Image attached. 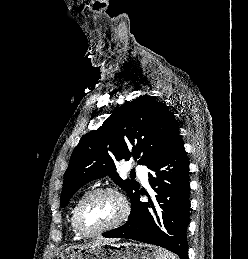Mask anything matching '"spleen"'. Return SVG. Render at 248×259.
<instances>
[{"label": "spleen", "mask_w": 248, "mask_h": 259, "mask_svg": "<svg viewBox=\"0 0 248 259\" xmlns=\"http://www.w3.org/2000/svg\"><path fill=\"white\" fill-rule=\"evenodd\" d=\"M159 259H177L174 254L159 248Z\"/></svg>", "instance_id": "3e777b00"}]
</instances>
